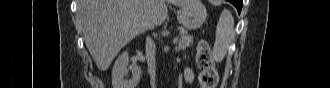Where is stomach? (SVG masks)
I'll list each match as a JSON object with an SVG mask.
<instances>
[{"label":"stomach","mask_w":330,"mask_h":88,"mask_svg":"<svg viewBox=\"0 0 330 88\" xmlns=\"http://www.w3.org/2000/svg\"><path fill=\"white\" fill-rule=\"evenodd\" d=\"M206 17V8L200 0H190L177 12L178 22L188 30H196L201 27Z\"/></svg>","instance_id":"0dacf381"}]
</instances>
